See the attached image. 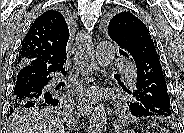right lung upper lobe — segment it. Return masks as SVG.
<instances>
[{"label": "right lung upper lobe", "instance_id": "cb5924a9", "mask_svg": "<svg viewBox=\"0 0 184 133\" xmlns=\"http://www.w3.org/2000/svg\"><path fill=\"white\" fill-rule=\"evenodd\" d=\"M70 38V23L67 14L60 9H51L41 14L26 34L19 55L17 69L31 60L47 64L66 61V46Z\"/></svg>", "mask_w": 184, "mask_h": 133}]
</instances>
